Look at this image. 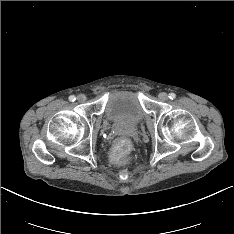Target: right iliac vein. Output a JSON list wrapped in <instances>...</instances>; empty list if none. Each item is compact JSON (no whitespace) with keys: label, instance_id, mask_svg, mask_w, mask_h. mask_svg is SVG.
Wrapping results in <instances>:
<instances>
[{"label":"right iliac vein","instance_id":"right-iliac-vein-1","mask_svg":"<svg viewBox=\"0 0 234 234\" xmlns=\"http://www.w3.org/2000/svg\"><path fill=\"white\" fill-rule=\"evenodd\" d=\"M86 96L84 95V94H80V95H78V97H77V100L79 101V102H85L86 101Z\"/></svg>","mask_w":234,"mask_h":234}]
</instances>
